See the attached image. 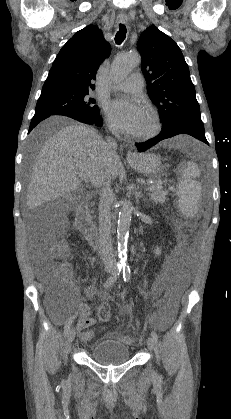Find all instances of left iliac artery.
Returning <instances> with one entry per match:
<instances>
[{
	"mask_svg": "<svg viewBox=\"0 0 231 419\" xmlns=\"http://www.w3.org/2000/svg\"><path fill=\"white\" fill-rule=\"evenodd\" d=\"M130 276H131V270L129 265H123V279L125 282H129L130 280ZM151 336L153 337V339L155 340V342L158 341V335L155 331L151 332Z\"/></svg>",
	"mask_w": 231,
	"mask_h": 419,
	"instance_id": "1",
	"label": "left iliac artery"
}]
</instances>
